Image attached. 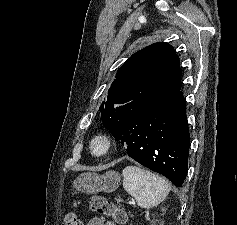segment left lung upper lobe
Listing matches in <instances>:
<instances>
[{
  "mask_svg": "<svg viewBox=\"0 0 237 225\" xmlns=\"http://www.w3.org/2000/svg\"><path fill=\"white\" fill-rule=\"evenodd\" d=\"M180 88L181 69L173 47L154 43L118 69L100 106L101 120L115 136L135 113L181 92Z\"/></svg>",
  "mask_w": 237,
  "mask_h": 225,
  "instance_id": "obj_1",
  "label": "left lung upper lobe"
}]
</instances>
